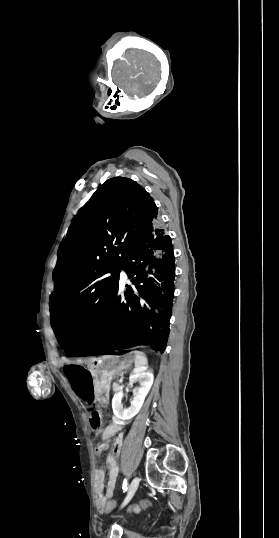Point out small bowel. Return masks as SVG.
<instances>
[{
    "label": "small bowel",
    "mask_w": 279,
    "mask_h": 538,
    "mask_svg": "<svg viewBox=\"0 0 279 538\" xmlns=\"http://www.w3.org/2000/svg\"><path fill=\"white\" fill-rule=\"evenodd\" d=\"M66 378L78 399L92 408L89 416L90 426L100 439V443L96 446V452H104L108 447V439L115 436L113 454L106 459L108 469L106 485L104 484L105 472L103 469H98L95 475L97 505L100 508L108 498L114 495L116 488L119 473L116 455L120 452L124 439L123 434L119 433L122 429V423L112 422L108 426L102 427L103 413L95 403L94 380L87 370L70 369L66 372Z\"/></svg>",
    "instance_id": "small-bowel-1"
}]
</instances>
